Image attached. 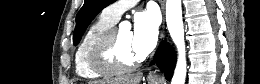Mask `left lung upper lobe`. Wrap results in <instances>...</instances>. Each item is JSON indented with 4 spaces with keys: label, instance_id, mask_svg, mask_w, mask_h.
I'll use <instances>...</instances> for the list:
<instances>
[{
    "label": "left lung upper lobe",
    "instance_id": "1",
    "mask_svg": "<svg viewBox=\"0 0 260 84\" xmlns=\"http://www.w3.org/2000/svg\"><path fill=\"white\" fill-rule=\"evenodd\" d=\"M115 0H85L83 7L76 16L74 44L77 45L88 25L96 15Z\"/></svg>",
    "mask_w": 260,
    "mask_h": 84
}]
</instances>
